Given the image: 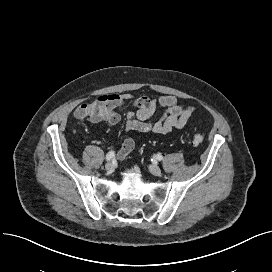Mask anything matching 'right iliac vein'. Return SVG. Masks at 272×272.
Segmentation results:
<instances>
[{
  "mask_svg": "<svg viewBox=\"0 0 272 272\" xmlns=\"http://www.w3.org/2000/svg\"><path fill=\"white\" fill-rule=\"evenodd\" d=\"M105 170L109 173H112L115 170L114 164L112 162L106 163Z\"/></svg>",
  "mask_w": 272,
  "mask_h": 272,
  "instance_id": "obj_1",
  "label": "right iliac vein"
}]
</instances>
